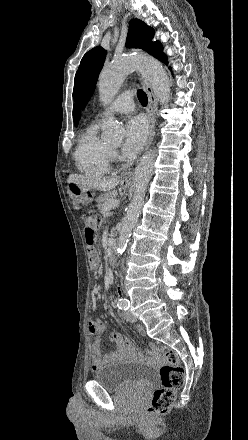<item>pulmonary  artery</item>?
I'll return each mask as SVG.
<instances>
[{
  "instance_id": "pulmonary-artery-1",
  "label": "pulmonary artery",
  "mask_w": 248,
  "mask_h": 440,
  "mask_svg": "<svg viewBox=\"0 0 248 440\" xmlns=\"http://www.w3.org/2000/svg\"><path fill=\"white\" fill-rule=\"evenodd\" d=\"M134 109L133 94L131 91H125L120 94L109 106V113H130ZM102 114L99 115V118Z\"/></svg>"
}]
</instances>
